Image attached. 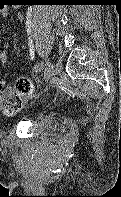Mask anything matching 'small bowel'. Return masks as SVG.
<instances>
[{"instance_id":"1","label":"small bowel","mask_w":121,"mask_h":197,"mask_svg":"<svg viewBox=\"0 0 121 197\" xmlns=\"http://www.w3.org/2000/svg\"><path fill=\"white\" fill-rule=\"evenodd\" d=\"M7 14H8L7 8L0 7V15L5 17L7 16ZM7 48H8V45H6L4 49L0 50V65L5 64L9 58Z\"/></svg>"}]
</instances>
